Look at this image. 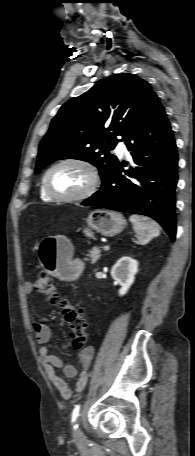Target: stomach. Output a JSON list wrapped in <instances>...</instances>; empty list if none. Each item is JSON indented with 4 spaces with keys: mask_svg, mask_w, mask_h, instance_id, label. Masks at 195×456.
<instances>
[{
    "mask_svg": "<svg viewBox=\"0 0 195 456\" xmlns=\"http://www.w3.org/2000/svg\"><path fill=\"white\" fill-rule=\"evenodd\" d=\"M85 236L94 238V231L105 236L119 234L126 226L124 217L114 211L96 209L86 219ZM43 267L53 276L63 280L75 279L83 268V262L73 256V246L64 236L46 237L39 247Z\"/></svg>",
    "mask_w": 195,
    "mask_h": 456,
    "instance_id": "1",
    "label": "stomach"
}]
</instances>
